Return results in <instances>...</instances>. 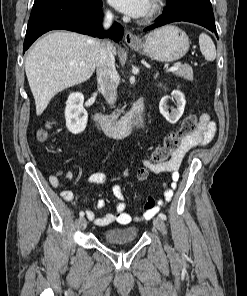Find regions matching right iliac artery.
Here are the masks:
<instances>
[{"label": "right iliac artery", "instance_id": "right-iliac-artery-1", "mask_svg": "<svg viewBox=\"0 0 247 296\" xmlns=\"http://www.w3.org/2000/svg\"><path fill=\"white\" fill-rule=\"evenodd\" d=\"M79 215H80V217H83V216H84V212L81 211V212L79 213Z\"/></svg>", "mask_w": 247, "mask_h": 296}]
</instances>
